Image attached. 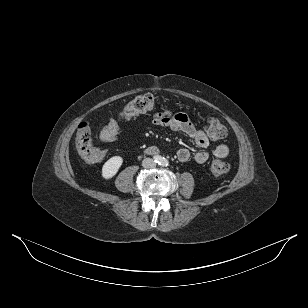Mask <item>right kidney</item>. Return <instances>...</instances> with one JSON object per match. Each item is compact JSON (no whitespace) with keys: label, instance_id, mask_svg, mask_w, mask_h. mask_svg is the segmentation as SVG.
<instances>
[{"label":"right kidney","instance_id":"right-kidney-1","mask_svg":"<svg viewBox=\"0 0 308 308\" xmlns=\"http://www.w3.org/2000/svg\"><path fill=\"white\" fill-rule=\"evenodd\" d=\"M123 163V158L120 156L111 157L102 167V177L104 179H111L116 175Z\"/></svg>","mask_w":308,"mask_h":308}]
</instances>
